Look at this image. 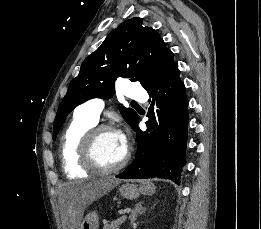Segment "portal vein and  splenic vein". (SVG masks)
Segmentation results:
<instances>
[{
	"label": "portal vein and splenic vein",
	"instance_id": "1",
	"mask_svg": "<svg viewBox=\"0 0 261 229\" xmlns=\"http://www.w3.org/2000/svg\"><path fill=\"white\" fill-rule=\"evenodd\" d=\"M128 222V219L125 217V218H122L121 221H119V224H123V223H127Z\"/></svg>",
	"mask_w": 261,
	"mask_h": 229
}]
</instances>
